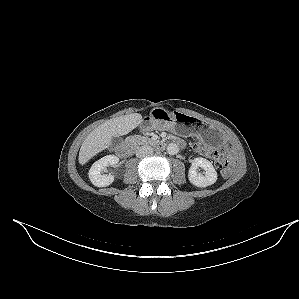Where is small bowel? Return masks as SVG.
Here are the masks:
<instances>
[{
	"mask_svg": "<svg viewBox=\"0 0 299 299\" xmlns=\"http://www.w3.org/2000/svg\"><path fill=\"white\" fill-rule=\"evenodd\" d=\"M175 141L179 142L180 146L184 144L183 140L180 138H174Z\"/></svg>",
	"mask_w": 299,
	"mask_h": 299,
	"instance_id": "1",
	"label": "small bowel"
}]
</instances>
